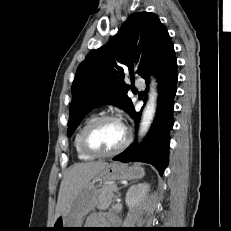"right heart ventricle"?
<instances>
[{
  "label": "right heart ventricle",
  "mask_w": 231,
  "mask_h": 231,
  "mask_svg": "<svg viewBox=\"0 0 231 231\" xmlns=\"http://www.w3.org/2000/svg\"><path fill=\"white\" fill-rule=\"evenodd\" d=\"M95 118L94 115L89 116L88 118H86L82 124L78 127L75 136H74V140H73V145H74V149L76 152L77 157L82 160V161H89L93 159V156L85 153L81 147L80 144V138H81V134L83 129L85 128V126Z\"/></svg>",
  "instance_id": "1"
}]
</instances>
